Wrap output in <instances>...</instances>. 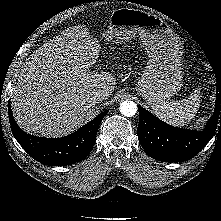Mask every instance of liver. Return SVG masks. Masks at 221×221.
I'll use <instances>...</instances> for the list:
<instances>
[{"mask_svg":"<svg viewBox=\"0 0 221 221\" xmlns=\"http://www.w3.org/2000/svg\"><path fill=\"white\" fill-rule=\"evenodd\" d=\"M100 53L96 38L82 25L63 31L25 61L13 89L11 107L17 124L43 137L66 136L92 116L91 94L115 87L109 72H91Z\"/></svg>","mask_w":221,"mask_h":221,"instance_id":"6515ba94","label":"liver"}]
</instances>
